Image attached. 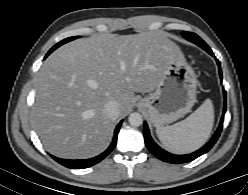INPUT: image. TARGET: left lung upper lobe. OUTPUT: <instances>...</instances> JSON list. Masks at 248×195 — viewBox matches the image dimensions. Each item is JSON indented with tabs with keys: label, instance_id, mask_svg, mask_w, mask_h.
Segmentation results:
<instances>
[{
	"label": "left lung upper lobe",
	"instance_id": "obj_1",
	"mask_svg": "<svg viewBox=\"0 0 248 195\" xmlns=\"http://www.w3.org/2000/svg\"><path fill=\"white\" fill-rule=\"evenodd\" d=\"M182 35L189 41L197 44L203 49H209V46L195 33L183 31Z\"/></svg>",
	"mask_w": 248,
	"mask_h": 195
}]
</instances>
